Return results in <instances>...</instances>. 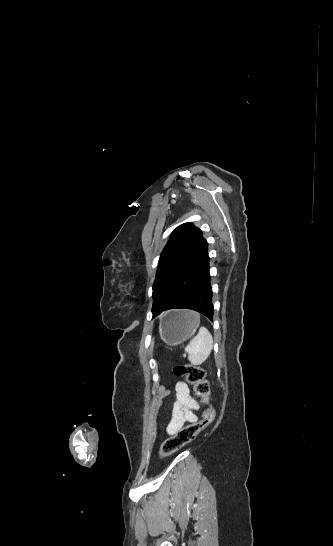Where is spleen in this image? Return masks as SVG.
<instances>
[{
	"mask_svg": "<svg viewBox=\"0 0 333 546\" xmlns=\"http://www.w3.org/2000/svg\"><path fill=\"white\" fill-rule=\"evenodd\" d=\"M198 317L200 315L197 313ZM213 349V337L205 327L199 329L198 334L189 342L185 348L188 353V360L192 365L203 364L210 356Z\"/></svg>",
	"mask_w": 333,
	"mask_h": 546,
	"instance_id": "spleen-1",
	"label": "spleen"
}]
</instances>
